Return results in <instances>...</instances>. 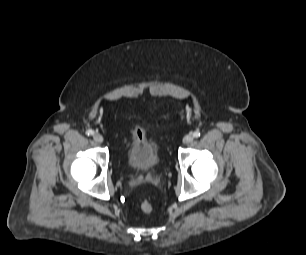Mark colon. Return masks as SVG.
<instances>
[{
  "label": "colon",
  "mask_w": 306,
  "mask_h": 255,
  "mask_svg": "<svg viewBox=\"0 0 306 255\" xmlns=\"http://www.w3.org/2000/svg\"><path fill=\"white\" fill-rule=\"evenodd\" d=\"M141 210L144 213L149 214L153 211V206L148 200H143L141 203Z\"/></svg>",
  "instance_id": "colon-1"
}]
</instances>
